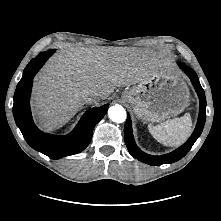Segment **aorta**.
Wrapping results in <instances>:
<instances>
[{"label":"aorta","instance_id":"762f6f07","mask_svg":"<svg viewBox=\"0 0 221 221\" xmlns=\"http://www.w3.org/2000/svg\"><path fill=\"white\" fill-rule=\"evenodd\" d=\"M109 118L116 123H122L126 120V111L121 105L111 106L108 110Z\"/></svg>","mask_w":221,"mask_h":221}]
</instances>
